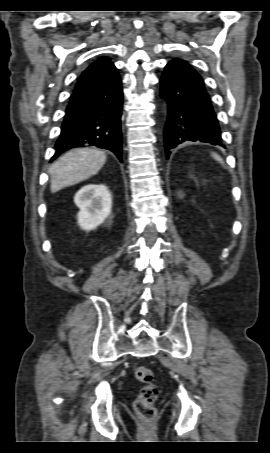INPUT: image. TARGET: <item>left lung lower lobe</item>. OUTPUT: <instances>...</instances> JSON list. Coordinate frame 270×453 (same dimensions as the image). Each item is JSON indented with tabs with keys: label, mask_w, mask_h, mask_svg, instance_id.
I'll return each instance as SVG.
<instances>
[{
	"label": "left lung lower lobe",
	"mask_w": 270,
	"mask_h": 453,
	"mask_svg": "<svg viewBox=\"0 0 270 453\" xmlns=\"http://www.w3.org/2000/svg\"><path fill=\"white\" fill-rule=\"evenodd\" d=\"M160 95L168 104L165 153L187 141L222 146L221 130L201 76L184 60L170 61L161 78Z\"/></svg>",
	"instance_id": "obj_1"
}]
</instances>
